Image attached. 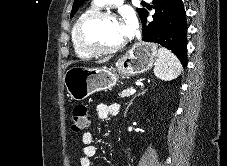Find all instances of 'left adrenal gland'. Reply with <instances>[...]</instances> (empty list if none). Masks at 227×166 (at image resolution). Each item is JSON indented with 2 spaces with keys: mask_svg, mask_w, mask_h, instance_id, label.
Returning <instances> with one entry per match:
<instances>
[{
  "mask_svg": "<svg viewBox=\"0 0 227 166\" xmlns=\"http://www.w3.org/2000/svg\"><path fill=\"white\" fill-rule=\"evenodd\" d=\"M146 91H147V90H144L141 94H144ZM139 95H140V94H139ZM135 98H136V96H135V97L130 101V103L128 104V106H127V108H126V110H125V115H126L128 109H129V107L131 106V104L133 103V101H134Z\"/></svg>",
  "mask_w": 227,
  "mask_h": 166,
  "instance_id": "a2214340",
  "label": "left adrenal gland"
}]
</instances>
